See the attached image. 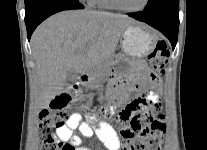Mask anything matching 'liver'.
I'll return each instance as SVG.
<instances>
[{
  "mask_svg": "<svg viewBox=\"0 0 207 150\" xmlns=\"http://www.w3.org/2000/svg\"><path fill=\"white\" fill-rule=\"evenodd\" d=\"M130 17L92 10H68L40 24L31 38L36 63L34 107L47 108L63 90L67 73L88 74L114 53Z\"/></svg>",
  "mask_w": 207,
  "mask_h": 150,
  "instance_id": "6515ba94",
  "label": "liver"
}]
</instances>
